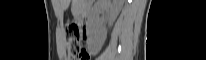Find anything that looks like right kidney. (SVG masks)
<instances>
[{
    "label": "right kidney",
    "instance_id": "1",
    "mask_svg": "<svg viewBox=\"0 0 206 60\" xmlns=\"http://www.w3.org/2000/svg\"><path fill=\"white\" fill-rule=\"evenodd\" d=\"M120 5H121L120 2L117 1L112 2L111 0H105V2H103L102 4V6H104L109 10L111 18L113 20L116 18V16L119 13ZM98 12H99V8L95 10V13L91 20V32L95 38V42L97 46H101L106 37V30L101 26V22L98 18Z\"/></svg>",
    "mask_w": 206,
    "mask_h": 60
}]
</instances>
